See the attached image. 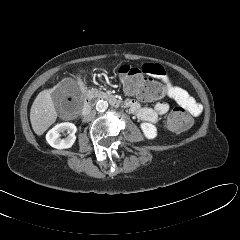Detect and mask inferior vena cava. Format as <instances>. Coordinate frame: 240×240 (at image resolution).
<instances>
[{
	"mask_svg": "<svg viewBox=\"0 0 240 240\" xmlns=\"http://www.w3.org/2000/svg\"><path fill=\"white\" fill-rule=\"evenodd\" d=\"M95 115H96V112H95V111H93V110H88V111H86L85 114H84V120L87 121V122H89V121H91V120L95 117Z\"/></svg>",
	"mask_w": 240,
	"mask_h": 240,
	"instance_id": "602c4592",
	"label": "inferior vena cava"
}]
</instances>
